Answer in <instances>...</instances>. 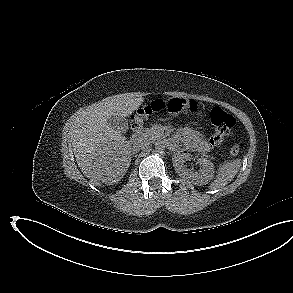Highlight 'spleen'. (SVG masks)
<instances>
[{
  "mask_svg": "<svg viewBox=\"0 0 293 293\" xmlns=\"http://www.w3.org/2000/svg\"><path fill=\"white\" fill-rule=\"evenodd\" d=\"M241 166V160L226 161L219 166L216 179L210 184L211 189H219L233 180Z\"/></svg>",
  "mask_w": 293,
  "mask_h": 293,
  "instance_id": "1",
  "label": "spleen"
}]
</instances>
